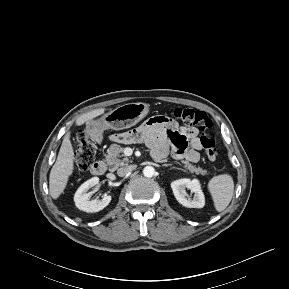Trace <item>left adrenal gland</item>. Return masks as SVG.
Masks as SVG:
<instances>
[{"instance_id": "1", "label": "left adrenal gland", "mask_w": 289, "mask_h": 289, "mask_svg": "<svg viewBox=\"0 0 289 289\" xmlns=\"http://www.w3.org/2000/svg\"><path fill=\"white\" fill-rule=\"evenodd\" d=\"M172 164H163V166H171Z\"/></svg>"}]
</instances>
